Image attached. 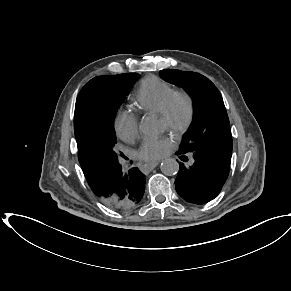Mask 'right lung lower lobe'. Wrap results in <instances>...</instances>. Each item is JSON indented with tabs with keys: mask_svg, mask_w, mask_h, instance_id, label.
Instances as JSON below:
<instances>
[{
	"mask_svg": "<svg viewBox=\"0 0 291 291\" xmlns=\"http://www.w3.org/2000/svg\"><path fill=\"white\" fill-rule=\"evenodd\" d=\"M102 175L108 191L106 197L101 199L109 207L117 211H127L141 201L145 190L146 176L138 168H132L128 173H124L117 162L108 165Z\"/></svg>",
	"mask_w": 291,
	"mask_h": 291,
	"instance_id": "obj_1",
	"label": "right lung lower lobe"
}]
</instances>
